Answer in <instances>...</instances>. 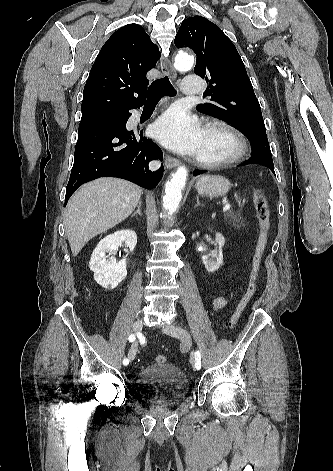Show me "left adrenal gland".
Segmentation results:
<instances>
[{
  "label": "left adrenal gland",
  "instance_id": "a2214340",
  "mask_svg": "<svg viewBox=\"0 0 333 471\" xmlns=\"http://www.w3.org/2000/svg\"><path fill=\"white\" fill-rule=\"evenodd\" d=\"M196 199H197V203L195 204V207L202 205L199 201V196H197Z\"/></svg>",
  "mask_w": 333,
  "mask_h": 471
}]
</instances>
